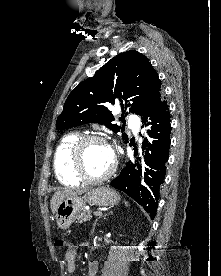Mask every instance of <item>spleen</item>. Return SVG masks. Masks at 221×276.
<instances>
[{"mask_svg":"<svg viewBox=\"0 0 221 276\" xmlns=\"http://www.w3.org/2000/svg\"><path fill=\"white\" fill-rule=\"evenodd\" d=\"M125 205H126V206H128V203H127V202H125Z\"/></svg>","mask_w":221,"mask_h":276,"instance_id":"obj_1","label":"spleen"}]
</instances>
